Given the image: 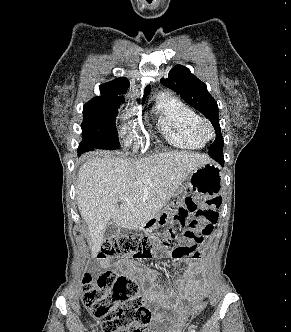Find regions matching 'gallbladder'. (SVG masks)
Masks as SVG:
<instances>
[{
  "mask_svg": "<svg viewBox=\"0 0 291 332\" xmlns=\"http://www.w3.org/2000/svg\"><path fill=\"white\" fill-rule=\"evenodd\" d=\"M119 232V227L115 223L109 222L103 232V238L104 240L112 239L113 237H116Z\"/></svg>",
  "mask_w": 291,
  "mask_h": 332,
  "instance_id": "1",
  "label": "gallbladder"
}]
</instances>
